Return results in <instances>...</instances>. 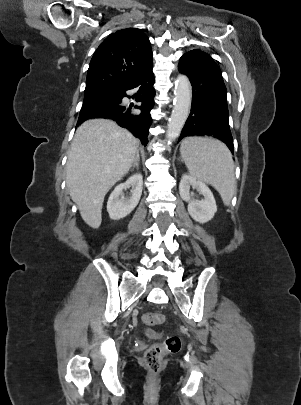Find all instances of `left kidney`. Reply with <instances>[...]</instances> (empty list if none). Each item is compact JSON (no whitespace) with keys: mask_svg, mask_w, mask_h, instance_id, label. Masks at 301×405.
I'll return each mask as SVG.
<instances>
[{"mask_svg":"<svg viewBox=\"0 0 301 405\" xmlns=\"http://www.w3.org/2000/svg\"><path fill=\"white\" fill-rule=\"evenodd\" d=\"M191 187L203 196L202 200L192 198ZM179 193L182 200L188 202V212L195 221L206 223L214 217L217 211L216 201L211 190L203 182L185 174L179 184Z\"/></svg>","mask_w":301,"mask_h":405,"instance_id":"5707ae66","label":"left kidney"}]
</instances>
